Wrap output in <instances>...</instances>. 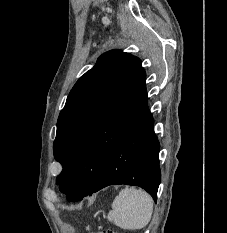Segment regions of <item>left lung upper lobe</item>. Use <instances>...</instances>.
Segmentation results:
<instances>
[{
	"label": "left lung upper lobe",
	"mask_w": 227,
	"mask_h": 233,
	"mask_svg": "<svg viewBox=\"0 0 227 233\" xmlns=\"http://www.w3.org/2000/svg\"><path fill=\"white\" fill-rule=\"evenodd\" d=\"M145 78L139 58L111 50L72 88L53 145L63 167L56 183L68 200L94 189L116 144L148 110Z\"/></svg>",
	"instance_id": "1"
}]
</instances>
